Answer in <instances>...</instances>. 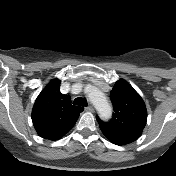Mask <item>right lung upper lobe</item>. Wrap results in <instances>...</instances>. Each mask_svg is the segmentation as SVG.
<instances>
[{
  "label": "right lung upper lobe",
  "instance_id": "cb5924a9",
  "mask_svg": "<svg viewBox=\"0 0 176 176\" xmlns=\"http://www.w3.org/2000/svg\"><path fill=\"white\" fill-rule=\"evenodd\" d=\"M60 84V80H52L41 91L32 110V122L38 135L49 140H57L70 131L83 111L60 92Z\"/></svg>",
  "mask_w": 176,
  "mask_h": 176
}]
</instances>
